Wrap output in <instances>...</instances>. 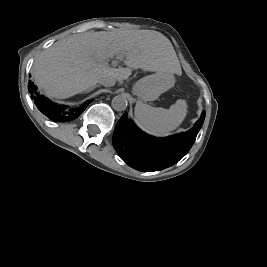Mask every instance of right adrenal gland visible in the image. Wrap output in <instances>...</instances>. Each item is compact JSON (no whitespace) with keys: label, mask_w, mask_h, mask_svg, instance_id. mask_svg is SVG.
<instances>
[{"label":"right adrenal gland","mask_w":267,"mask_h":267,"mask_svg":"<svg viewBox=\"0 0 267 267\" xmlns=\"http://www.w3.org/2000/svg\"><path fill=\"white\" fill-rule=\"evenodd\" d=\"M99 85H95L92 88H89L88 90H85L84 92L88 93L90 91H93L96 87H98Z\"/></svg>","instance_id":"2a0ac1e0"}]
</instances>
